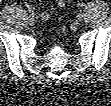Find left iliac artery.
Listing matches in <instances>:
<instances>
[{
	"mask_svg": "<svg viewBox=\"0 0 111 106\" xmlns=\"http://www.w3.org/2000/svg\"><path fill=\"white\" fill-rule=\"evenodd\" d=\"M80 6H81L82 8H84V7H85V4H84V3H82V4H80Z\"/></svg>",
	"mask_w": 111,
	"mask_h": 106,
	"instance_id": "1",
	"label": "left iliac artery"
}]
</instances>
